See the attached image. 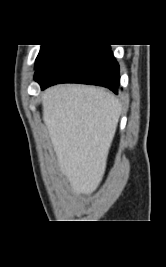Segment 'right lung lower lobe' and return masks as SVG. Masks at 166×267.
Wrapping results in <instances>:
<instances>
[{
	"label": "right lung lower lobe",
	"mask_w": 166,
	"mask_h": 267,
	"mask_svg": "<svg viewBox=\"0 0 166 267\" xmlns=\"http://www.w3.org/2000/svg\"><path fill=\"white\" fill-rule=\"evenodd\" d=\"M41 89L57 83H83L109 88L120 85L119 65L110 45H53L36 67Z\"/></svg>",
	"instance_id": "98d812e1"
}]
</instances>
